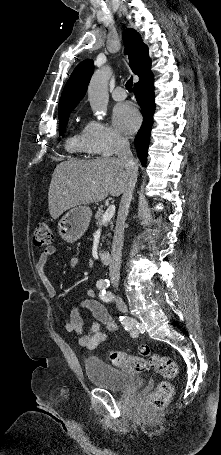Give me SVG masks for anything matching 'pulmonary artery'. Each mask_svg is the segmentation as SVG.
<instances>
[{"label": "pulmonary artery", "mask_w": 221, "mask_h": 455, "mask_svg": "<svg viewBox=\"0 0 221 455\" xmlns=\"http://www.w3.org/2000/svg\"><path fill=\"white\" fill-rule=\"evenodd\" d=\"M112 97L116 101H122L126 98V92L122 87H116L112 92Z\"/></svg>", "instance_id": "pulmonary-artery-1"}]
</instances>
